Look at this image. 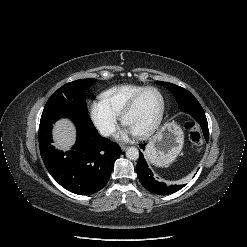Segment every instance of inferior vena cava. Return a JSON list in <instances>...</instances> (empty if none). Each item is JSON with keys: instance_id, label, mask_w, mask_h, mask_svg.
Instances as JSON below:
<instances>
[{"instance_id": "1", "label": "inferior vena cava", "mask_w": 247, "mask_h": 247, "mask_svg": "<svg viewBox=\"0 0 247 247\" xmlns=\"http://www.w3.org/2000/svg\"><path fill=\"white\" fill-rule=\"evenodd\" d=\"M113 132V129L111 127H102L100 129V133L103 135V136H109L111 133Z\"/></svg>"}]
</instances>
